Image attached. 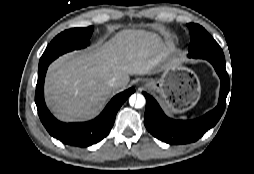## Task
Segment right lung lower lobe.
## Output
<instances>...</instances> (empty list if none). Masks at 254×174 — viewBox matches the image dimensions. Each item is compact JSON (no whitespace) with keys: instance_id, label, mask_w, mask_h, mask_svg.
<instances>
[{"instance_id":"98d812e1","label":"right lung lower lobe","mask_w":254,"mask_h":174,"mask_svg":"<svg viewBox=\"0 0 254 174\" xmlns=\"http://www.w3.org/2000/svg\"><path fill=\"white\" fill-rule=\"evenodd\" d=\"M47 68L48 65L38 70L35 93L38 115L49 134L67 145L87 147L101 141L109 134L119 108L135 92L134 88H130L117 94L108 103L103 112L92 121L84 123H63L55 119L45 105L43 87Z\"/></svg>"}]
</instances>
